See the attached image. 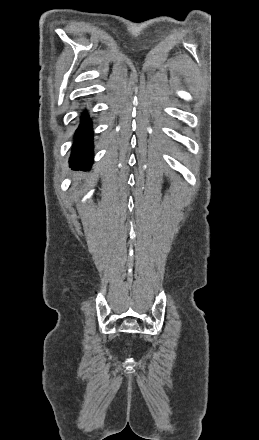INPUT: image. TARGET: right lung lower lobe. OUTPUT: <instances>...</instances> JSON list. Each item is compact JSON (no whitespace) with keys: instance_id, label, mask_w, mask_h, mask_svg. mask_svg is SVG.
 I'll list each match as a JSON object with an SVG mask.
<instances>
[{"instance_id":"98d812e1","label":"right lung lower lobe","mask_w":259,"mask_h":440,"mask_svg":"<svg viewBox=\"0 0 259 440\" xmlns=\"http://www.w3.org/2000/svg\"><path fill=\"white\" fill-rule=\"evenodd\" d=\"M92 150V123L85 114L76 131V142L70 157V166L73 169H89L93 162Z\"/></svg>"}]
</instances>
